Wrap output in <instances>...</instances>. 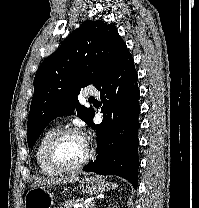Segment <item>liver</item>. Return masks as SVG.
Returning <instances> with one entry per match:
<instances>
[{"mask_svg": "<svg viewBox=\"0 0 199 208\" xmlns=\"http://www.w3.org/2000/svg\"><path fill=\"white\" fill-rule=\"evenodd\" d=\"M79 181V176L77 175H70L65 177L59 178H39L34 181L32 187L39 186V185H58V184H68L72 182Z\"/></svg>", "mask_w": 199, "mask_h": 208, "instance_id": "6515ba94", "label": "liver"}]
</instances>
